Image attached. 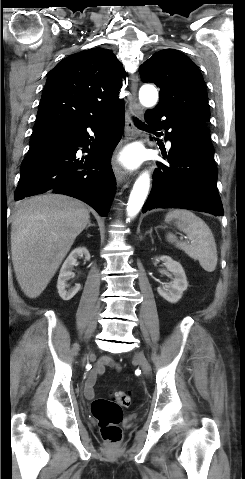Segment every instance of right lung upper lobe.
Masks as SVG:
<instances>
[{"label":"right lung upper lobe","mask_w":245,"mask_h":479,"mask_svg":"<svg viewBox=\"0 0 245 479\" xmlns=\"http://www.w3.org/2000/svg\"><path fill=\"white\" fill-rule=\"evenodd\" d=\"M126 72L112 51L92 48L60 61L48 75L33 133L124 109Z\"/></svg>","instance_id":"right-lung-upper-lobe-1"}]
</instances>
